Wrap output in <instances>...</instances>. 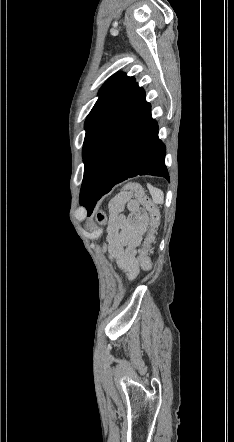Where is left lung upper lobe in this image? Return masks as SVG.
Returning <instances> with one entry per match:
<instances>
[{"instance_id": "left-lung-upper-lobe-1", "label": "left lung upper lobe", "mask_w": 234, "mask_h": 442, "mask_svg": "<svg viewBox=\"0 0 234 442\" xmlns=\"http://www.w3.org/2000/svg\"><path fill=\"white\" fill-rule=\"evenodd\" d=\"M134 84V77H128L120 72L109 78L102 86L98 93L99 98L85 121L86 136L84 144L91 133L118 105Z\"/></svg>"}]
</instances>
